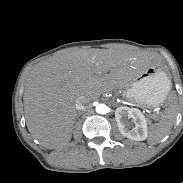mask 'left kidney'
<instances>
[{
  "mask_svg": "<svg viewBox=\"0 0 183 183\" xmlns=\"http://www.w3.org/2000/svg\"><path fill=\"white\" fill-rule=\"evenodd\" d=\"M115 119L123 136L135 141L148 137L147 119L139 109L121 106L115 111Z\"/></svg>",
  "mask_w": 183,
  "mask_h": 183,
  "instance_id": "1",
  "label": "left kidney"
}]
</instances>
